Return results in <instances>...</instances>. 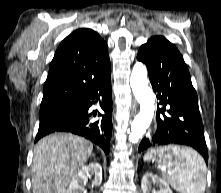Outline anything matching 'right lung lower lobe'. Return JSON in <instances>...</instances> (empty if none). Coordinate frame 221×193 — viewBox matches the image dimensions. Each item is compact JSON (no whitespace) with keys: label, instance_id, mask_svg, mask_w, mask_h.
Listing matches in <instances>:
<instances>
[{"label":"right lung lower lobe","instance_id":"obj_1","mask_svg":"<svg viewBox=\"0 0 221 193\" xmlns=\"http://www.w3.org/2000/svg\"><path fill=\"white\" fill-rule=\"evenodd\" d=\"M111 66L109 65L98 73L86 90L78 98V110L67 118L53 124L39 127L35 142L52 132H70L99 145L105 152L109 153L110 139L112 135V94H111ZM101 98L100 106L105 112L89 113V108Z\"/></svg>","mask_w":221,"mask_h":193}]
</instances>
